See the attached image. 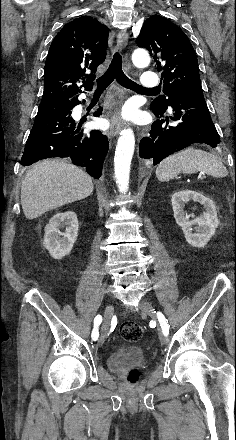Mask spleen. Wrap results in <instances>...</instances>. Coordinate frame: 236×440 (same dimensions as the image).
<instances>
[{
    "label": "spleen",
    "mask_w": 236,
    "mask_h": 440,
    "mask_svg": "<svg viewBox=\"0 0 236 440\" xmlns=\"http://www.w3.org/2000/svg\"><path fill=\"white\" fill-rule=\"evenodd\" d=\"M205 172L214 177H226L228 172L223 163L213 154L192 147L165 158L156 169L159 181L174 179L179 174Z\"/></svg>",
    "instance_id": "spleen-1"
}]
</instances>
